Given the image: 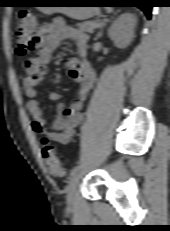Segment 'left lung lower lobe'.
<instances>
[{"instance_id": "0a47b994", "label": "left lung lower lobe", "mask_w": 170, "mask_h": 231, "mask_svg": "<svg viewBox=\"0 0 170 231\" xmlns=\"http://www.w3.org/2000/svg\"><path fill=\"white\" fill-rule=\"evenodd\" d=\"M98 2L113 7H139L148 19L151 18L152 0H99Z\"/></svg>"}]
</instances>
